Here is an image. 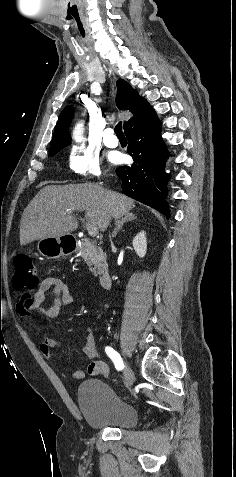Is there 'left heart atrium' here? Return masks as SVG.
I'll return each mask as SVG.
<instances>
[{
  "mask_svg": "<svg viewBox=\"0 0 236 477\" xmlns=\"http://www.w3.org/2000/svg\"><path fill=\"white\" fill-rule=\"evenodd\" d=\"M120 160H121V157H120V156H115V157H114V161H115V162H119Z\"/></svg>",
  "mask_w": 236,
  "mask_h": 477,
  "instance_id": "left-heart-atrium-1",
  "label": "left heart atrium"
}]
</instances>
